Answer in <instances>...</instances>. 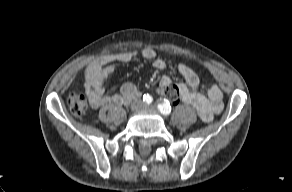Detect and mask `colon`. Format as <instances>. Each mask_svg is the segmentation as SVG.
Here are the masks:
<instances>
[{
    "instance_id": "5ec220e1",
    "label": "colon",
    "mask_w": 292,
    "mask_h": 192,
    "mask_svg": "<svg viewBox=\"0 0 292 192\" xmlns=\"http://www.w3.org/2000/svg\"><path fill=\"white\" fill-rule=\"evenodd\" d=\"M158 92L174 103H178L179 101L178 95L170 87H160ZM67 103L70 111L77 116L83 114L88 106L86 95L80 90L71 91L67 97Z\"/></svg>"
}]
</instances>
